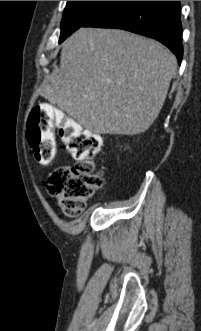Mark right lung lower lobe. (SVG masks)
<instances>
[{"label":"right lung lower lobe","instance_id":"98d812e1","mask_svg":"<svg viewBox=\"0 0 201 331\" xmlns=\"http://www.w3.org/2000/svg\"><path fill=\"white\" fill-rule=\"evenodd\" d=\"M83 27L117 28L156 39L181 63L180 1H112Z\"/></svg>","mask_w":201,"mask_h":331}]
</instances>
